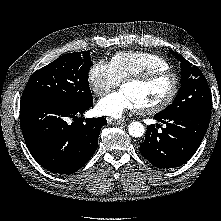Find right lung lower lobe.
<instances>
[{"instance_id": "1", "label": "right lung lower lobe", "mask_w": 221, "mask_h": 221, "mask_svg": "<svg viewBox=\"0 0 221 221\" xmlns=\"http://www.w3.org/2000/svg\"><path fill=\"white\" fill-rule=\"evenodd\" d=\"M93 102L74 105L45 98L20 101V123L25 143L33 158L45 169L70 174L83 167L97 149L106 118H78ZM69 119L73 122L70 123Z\"/></svg>"}]
</instances>
